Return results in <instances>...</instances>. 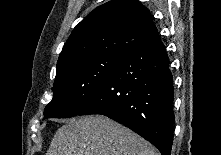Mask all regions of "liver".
Listing matches in <instances>:
<instances>
[{
	"label": "liver",
	"mask_w": 221,
	"mask_h": 155,
	"mask_svg": "<svg viewBox=\"0 0 221 155\" xmlns=\"http://www.w3.org/2000/svg\"><path fill=\"white\" fill-rule=\"evenodd\" d=\"M47 155H157L130 129L101 115L71 120L55 133Z\"/></svg>",
	"instance_id": "liver-1"
}]
</instances>
